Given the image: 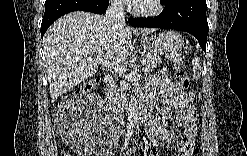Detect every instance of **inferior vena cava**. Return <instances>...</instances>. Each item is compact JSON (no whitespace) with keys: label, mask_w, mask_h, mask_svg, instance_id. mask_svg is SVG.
I'll return each instance as SVG.
<instances>
[{"label":"inferior vena cava","mask_w":247,"mask_h":156,"mask_svg":"<svg viewBox=\"0 0 247 156\" xmlns=\"http://www.w3.org/2000/svg\"><path fill=\"white\" fill-rule=\"evenodd\" d=\"M106 21L110 26L115 28L125 25L124 5L121 0H112L109 8L106 11ZM109 99L110 103L115 111L116 115L122 118V106L120 105V98L115 81H109L108 83Z\"/></svg>","instance_id":"inferior-vena-cava-1"}]
</instances>
